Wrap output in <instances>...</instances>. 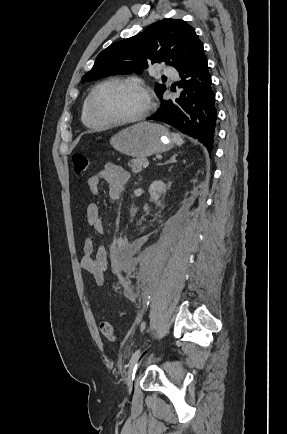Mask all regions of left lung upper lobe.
<instances>
[{
	"label": "left lung upper lobe",
	"mask_w": 287,
	"mask_h": 434,
	"mask_svg": "<svg viewBox=\"0 0 287 434\" xmlns=\"http://www.w3.org/2000/svg\"><path fill=\"white\" fill-rule=\"evenodd\" d=\"M203 52V44L190 25L180 19L167 18L107 47L81 81L141 73L151 63L165 62L178 70ZM165 90V85L156 84L155 91L160 98Z\"/></svg>",
	"instance_id": "1"
}]
</instances>
